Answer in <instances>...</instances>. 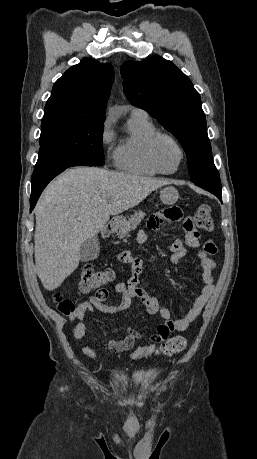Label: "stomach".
Listing matches in <instances>:
<instances>
[{
	"instance_id": "1",
	"label": "stomach",
	"mask_w": 257,
	"mask_h": 459,
	"mask_svg": "<svg viewBox=\"0 0 257 459\" xmlns=\"http://www.w3.org/2000/svg\"><path fill=\"white\" fill-rule=\"evenodd\" d=\"M179 198L177 189L173 186H167L160 191V199L164 204H174ZM126 223L125 218L119 217L116 219V229L120 230Z\"/></svg>"
}]
</instances>
